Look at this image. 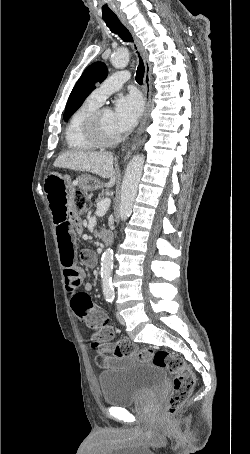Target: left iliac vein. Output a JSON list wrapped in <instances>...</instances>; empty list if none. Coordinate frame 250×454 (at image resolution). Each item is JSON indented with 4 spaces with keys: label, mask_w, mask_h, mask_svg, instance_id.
Returning a JSON list of instances; mask_svg holds the SVG:
<instances>
[{
    "label": "left iliac vein",
    "mask_w": 250,
    "mask_h": 454,
    "mask_svg": "<svg viewBox=\"0 0 250 454\" xmlns=\"http://www.w3.org/2000/svg\"><path fill=\"white\" fill-rule=\"evenodd\" d=\"M116 317H117V319H118V321H119V323L121 325H125V320H124V318L122 317V315L118 311L116 313Z\"/></svg>",
    "instance_id": "obj_1"
}]
</instances>
